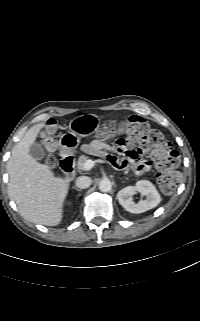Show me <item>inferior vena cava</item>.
<instances>
[{
    "mask_svg": "<svg viewBox=\"0 0 200 321\" xmlns=\"http://www.w3.org/2000/svg\"><path fill=\"white\" fill-rule=\"evenodd\" d=\"M91 178L87 176H79L76 179V186L80 189H86L91 185Z\"/></svg>",
    "mask_w": 200,
    "mask_h": 321,
    "instance_id": "1",
    "label": "inferior vena cava"
}]
</instances>
